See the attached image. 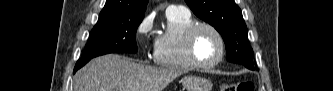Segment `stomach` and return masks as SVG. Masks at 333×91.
Returning <instances> with one entry per match:
<instances>
[{"label": "stomach", "mask_w": 333, "mask_h": 91, "mask_svg": "<svg viewBox=\"0 0 333 91\" xmlns=\"http://www.w3.org/2000/svg\"><path fill=\"white\" fill-rule=\"evenodd\" d=\"M186 91H211L210 80L199 76H186L182 79Z\"/></svg>", "instance_id": "stomach-1"}]
</instances>
